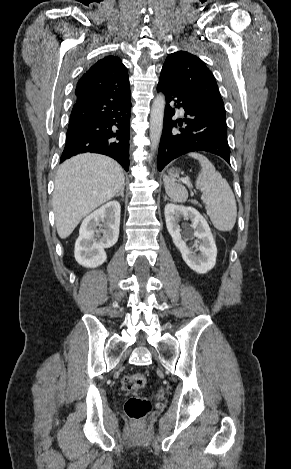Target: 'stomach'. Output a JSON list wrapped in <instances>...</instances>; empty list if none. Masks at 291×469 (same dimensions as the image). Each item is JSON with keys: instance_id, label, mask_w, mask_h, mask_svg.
Segmentation results:
<instances>
[{"instance_id": "1", "label": "stomach", "mask_w": 291, "mask_h": 469, "mask_svg": "<svg viewBox=\"0 0 291 469\" xmlns=\"http://www.w3.org/2000/svg\"><path fill=\"white\" fill-rule=\"evenodd\" d=\"M178 175H179V173H178L177 170H175V169H170V170H169V176H170L171 178L178 177Z\"/></svg>"}]
</instances>
